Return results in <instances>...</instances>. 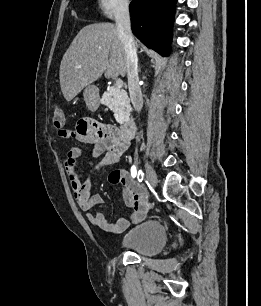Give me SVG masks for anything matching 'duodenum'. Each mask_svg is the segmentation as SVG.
<instances>
[{"label":"duodenum","mask_w":261,"mask_h":306,"mask_svg":"<svg viewBox=\"0 0 261 306\" xmlns=\"http://www.w3.org/2000/svg\"><path fill=\"white\" fill-rule=\"evenodd\" d=\"M136 130L135 121L132 118L123 121L119 127V132L122 137L132 139Z\"/></svg>","instance_id":"410a0bca"}]
</instances>
